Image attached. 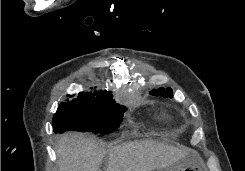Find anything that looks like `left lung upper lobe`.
Returning <instances> with one entry per match:
<instances>
[{
	"label": "left lung upper lobe",
	"instance_id": "1",
	"mask_svg": "<svg viewBox=\"0 0 245 171\" xmlns=\"http://www.w3.org/2000/svg\"><path fill=\"white\" fill-rule=\"evenodd\" d=\"M172 89L171 88H167V89H164V88H159V89H155L153 91L150 92V94L152 95H155V96H158V95H161V96H170L172 97Z\"/></svg>",
	"mask_w": 245,
	"mask_h": 171
}]
</instances>
